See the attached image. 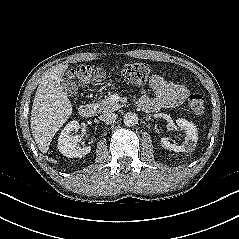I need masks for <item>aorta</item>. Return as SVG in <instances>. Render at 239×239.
Listing matches in <instances>:
<instances>
[{
	"label": "aorta",
	"instance_id": "762f6f07",
	"mask_svg": "<svg viewBox=\"0 0 239 239\" xmlns=\"http://www.w3.org/2000/svg\"><path fill=\"white\" fill-rule=\"evenodd\" d=\"M124 124L128 127H133L138 124V116L136 113L128 112L123 117Z\"/></svg>",
	"mask_w": 239,
	"mask_h": 239
}]
</instances>
